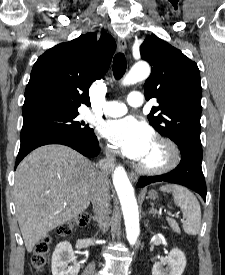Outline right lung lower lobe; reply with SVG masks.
I'll return each instance as SVG.
<instances>
[{"label":"right lung lower lobe","instance_id":"1","mask_svg":"<svg viewBox=\"0 0 225 275\" xmlns=\"http://www.w3.org/2000/svg\"><path fill=\"white\" fill-rule=\"evenodd\" d=\"M20 140L21 144L15 168L28 153L37 147L47 144H63L89 158L97 156L100 151L95 135L78 136L68 131L46 125L22 127Z\"/></svg>","mask_w":225,"mask_h":275}]
</instances>
